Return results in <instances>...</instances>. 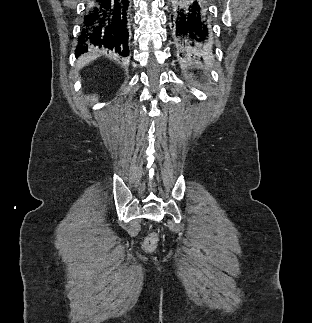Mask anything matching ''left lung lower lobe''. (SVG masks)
Segmentation results:
<instances>
[{
    "label": "left lung lower lobe",
    "instance_id": "left-lung-lower-lobe-1",
    "mask_svg": "<svg viewBox=\"0 0 312 323\" xmlns=\"http://www.w3.org/2000/svg\"><path fill=\"white\" fill-rule=\"evenodd\" d=\"M208 0H173L169 5L172 40L181 57L209 55L212 24Z\"/></svg>",
    "mask_w": 312,
    "mask_h": 323
}]
</instances>
